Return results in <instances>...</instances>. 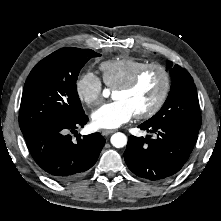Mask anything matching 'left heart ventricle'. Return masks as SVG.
<instances>
[{
    "label": "left heart ventricle",
    "instance_id": "obj_1",
    "mask_svg": "<svg viewBox=\"0 0 221 221\" xmlns=\"http://www.w3.org/2000/svg\"><path fill=\"white\" fill-rule=\"evenodd\" d=\"M163 86V78L156 69L147 71L132 89L114 91L113 98L125 101L135 114L150 108L157 100Z\"/></svg>",
    "mask_w": 221,
    "mask_h": 221
}]
</instances>
